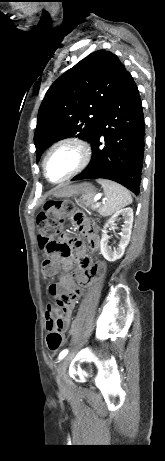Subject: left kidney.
I'll use <instances>...</instances> for the list:
<instances>
[{"mask_svg": "<svg viewBox=\"0 0 165 461\" xmlns=\"http://www.w3.org/2000/svg\"><path fill=\"white\" fill-rule=\"evenodd\" d=\"M119 215L123 216L124 225H122L123 228L120 233L121 238H120L118 248L112 250L111 247L108 245L109 236L107 235L106 229L110 226L112 227L115 225L114 222ZM132 224H133V209L130 207L116 211L110 217L108 222L105 224L103 234H102V239L100 242V250H101V254L107 261L114 262L123 256L125 252V248L127 247L130 241Z\"/></svg>", "mask_w": 165, "mask_h": 461, "instance_id": "1", "label": "left kidney"}]
</instances>
